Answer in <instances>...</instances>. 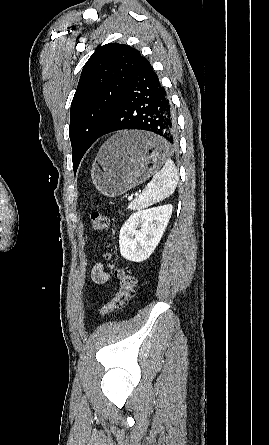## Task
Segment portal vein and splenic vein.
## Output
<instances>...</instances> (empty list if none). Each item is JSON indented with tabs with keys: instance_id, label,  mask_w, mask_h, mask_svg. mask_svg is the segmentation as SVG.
<instances>
[{
	"instance_id": "18ae733b",
	"label": "portal vein and splenic vein",
	"mask_w": 269,
	"mask_h": 445,
	"mask_svg": "<svg viewBox=\"0 0 269 445\" xmlns=\"http://www.w3.org/2000/svg\"><path fill=\"white\" fill-rule=\"evenodd\" d=\"M135 196H138V193H136ZM132 199H133V195L128 197V200H132Z\"/></svg>"
}]
</instances>
